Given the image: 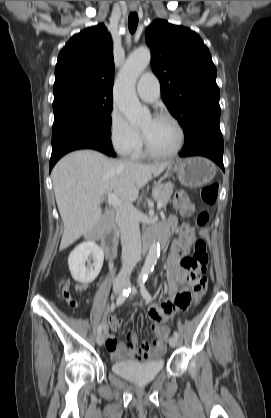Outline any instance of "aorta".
<instances>
[{"label":"aorta","mask_w":271,"mask_h":418,"mask_svg":"<svg viewBox=\"0 0 271 418\" xmlns=\"http://www.w3.org/2000/svg\"><path fill=\"white\" fill-rule=\"evenodd\" d=\"M150 60L151 54L148 49L134 51L124 63L116 84V104L132 125H141L151 118L149 109L143 107L139 102L135 89L139 76L149 65ZM159 255V242L153 239L141 271V276H147L152 272Z\"/></svg>","instance_id":"1"}]
</instances>
